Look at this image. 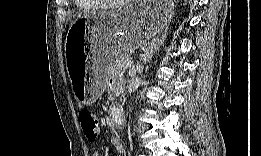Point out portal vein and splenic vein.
<instances>
[{
    "label": "portal vein and splenic vein",
    "mask_w": 261,
    "mask_h": 156,
    "mask_svg": "<svg viewBox=\"0 0 261 156\" xmlns=\"http://www.w3.org/2000/svg\"><path fill=\"white\" fill-rule=\"evenodd\" d=\"M133 61L132 60H129V61H127L126 63H125V65H124V67L125 68H129V67H131L132 65H133Z\"/></svg>",
    "instance_id": "obj_1"
}]
</instances>
